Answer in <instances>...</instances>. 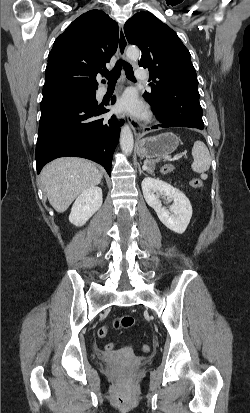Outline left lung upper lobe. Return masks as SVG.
Masks as SVG:
<instances>
[{"label": "left lung upper lobe", "instance_id": "1", "mask_svg": "<svg viewBox=\"0 0 250 413\" xmlns=\"http://www.w3.org/2000/svg\"><path fill=\"white\" fill-rule=\"evenodd\" d=\"M125 36L130 44L141 51L140 66L148 69L151 95H170L171 90L182 86H198L195 68L189 50L177 34L149 12L133 15L124 26Z\"/></svg>", "mask_w": 250, "mask_h": 413}]
</instances>
